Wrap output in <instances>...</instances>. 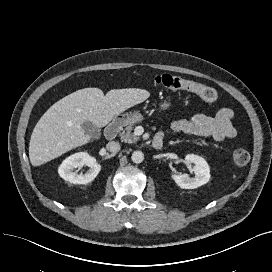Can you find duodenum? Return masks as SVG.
Listing matches in <instances>:
<instances>
[{"label": "duodenum", "instance_id": "1", "mask_svg": "<svg viewBox=\"0 0 272 272\" xmlns=\"http://www.w3.org/2000/svg\"><path fill=\"white\" fill-rule=\"evenodd\" d=\"M122 126L121 120L111 121L105 129V137L107 140L112 141L117 137V134ZM152 146L154 149L159 150L163 147V138L160 136H155L152 141Z\"/></svg>", "mask_w": 272, "mask_h": 272}]
</instances>
